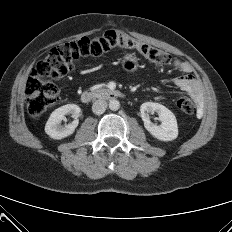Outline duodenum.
<instances>
[{
    "instance_id": "1",
    "label": "duodenum",
    "mask_w": 232,
    "mask_h": 232,
    "mask_svg": "<svg viewBox=\"0 0 232 232\" xmlns=\"http://www.w3.org/2000/svg\"><path fill=\"white\" fill-rule=\"evenodd\" d=\"M122 94L119 91L104 89V90H85L80 98L83 103H89L95 99H108L113 100L121 97Z\"/></svg>"
}]
</instances>
